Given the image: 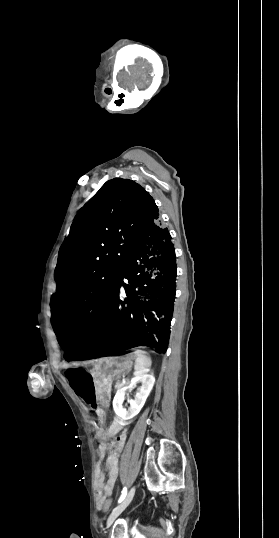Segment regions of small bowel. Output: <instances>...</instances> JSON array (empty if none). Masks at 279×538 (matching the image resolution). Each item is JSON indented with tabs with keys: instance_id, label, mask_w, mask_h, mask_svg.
Masks as SVG:
<instances>
[{
	"instance_id": "1",
	"label": "small bowel",
	"mask_w": 279,
	"mask_h": 538,
	"mask_svg": "<svg viewBox=\"0 0 279 538\" xmlns=\"http://www.w3.org/2000/svg\"><path fill=\"white\" fill-rule=\"evenodd\" d=\"M67 380L75 395L94 413L93 428L95 437L100 441L97 449L100 459H103L110 451L106 458L107 479H105V474L100 467L96 472L98 504L101 506L105 497L113 493L118 478L119 453L125 444L127 431L124 424L120 422H113L106 429L103 427L105 410L97 401L95 383L91 374L85 370H70L67 373ZM114 436L115 441L111 446L108 439Z\"/></svg>"
}]
</instances>
